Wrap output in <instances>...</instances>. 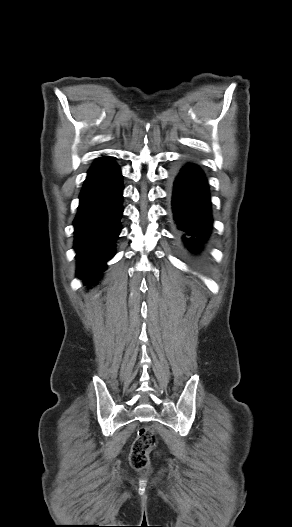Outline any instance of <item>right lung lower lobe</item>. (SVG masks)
<instances>
[{
  "label": "right lung lower lobe",
  "mask_w": 292,
  "mask_h": 527,
  "mask_svg": "<svg viewBox=\"0 0 292 527\" xmlns=\"http://www.w3.org/2000/svg\"><path fill=\"white\" fill-rule=\"evenodd\" d=\"M122 175L109 157L98 158L89 169L80 193L74 248L78 271L86 284H93L114 255L120 233Z\"/></svg>",
  "instance_id": "1"
}]
</instances>
